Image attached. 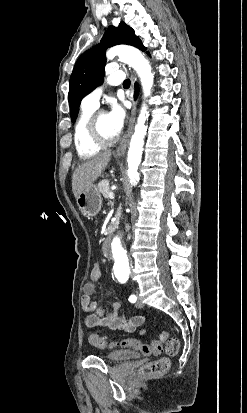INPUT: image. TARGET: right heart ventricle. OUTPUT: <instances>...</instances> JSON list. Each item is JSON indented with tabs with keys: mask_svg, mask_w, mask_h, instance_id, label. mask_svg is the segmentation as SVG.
<instances>
[{
	"mask_svg": "<svg viewBox=\"0 0 247 413\" xmlns=\"http://www.w3.org/2000/svg\"><path fill=\"white\" fill-rule=\"evenodd\" d=\"M92 110L93 108H90L89 111L82 113L75 127V146L82 160L93 158L102 150L90 140L88 135Z\"/></svg>",
	"mask_w": 247,
	"mask_h": 413,
	"instance_id": "obj_1",
	"label": "right heart ventricle"
}]
</instances>
